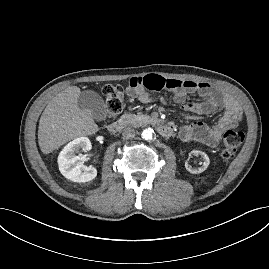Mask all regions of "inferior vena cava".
<instances>
[{
	"instance_id": "inferior-vena-cava-1",
	"label": "inferior vena cava",
	"mask_w": 269,
	"mask_h": 269,
	"mask_svg": "<svg viewBox=\"0 0 269 269\" xmlns=\"http://www.w3.org/2000/svg\"><path fill=\"white\" fill-rule=\"evenodd\" d=\"M122 136L126 139L134 138L135 136V130L131 127H126L122 131Z\"/></svg>"
}]
</instances>
